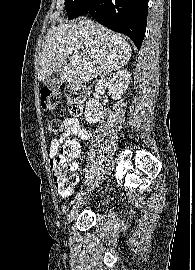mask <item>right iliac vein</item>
Instances as JSON below:
<instances>
[{
	"mask_svg": "<svg viewBox=\"0 0 195 270\" xmlns=\"http://www.w3.org/2000/svg\"><path fill=\"white\" fill-rule=\"evenodd\" d=\"M84 203V199L81 198L79 200H77V202L75 203V205L73 206L69 216H68V223H71L75 217L77 216L78 214V211H79V208L80 206Z\"/></svg>",
	"mask_w": 195,
	"mask_h": 270,
	"instance_id": "1",
	"label": "right iliac vein"
}]
</instances>
